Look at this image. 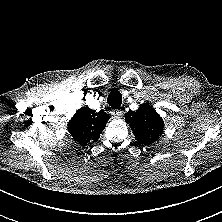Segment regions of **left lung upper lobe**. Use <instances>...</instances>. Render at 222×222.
<instances>
[{"label": "left lung upper lobe", "instance_id": "1", "mask_svg": "<svg viewBox=\"0 0 222 222\" xmlns=\"http://www.w3.org/2000/svg\"><path fill=\"white\" fill-rule=\"evenodd\" d=\"M125 121L130 125L136 140L144 145L157 141L164 128V122L154 108L143 103L135 112L125 114Z\"/></svg>", "mask_w": 222, "mask_h": 222}]
</instances>
